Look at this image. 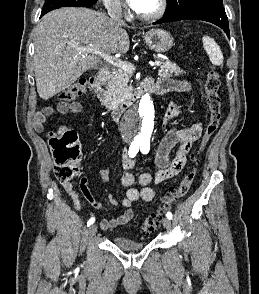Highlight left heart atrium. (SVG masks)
Returning <instances> with one entry per match:
<instances>
[{
	"label": "left heart atrium",
	"mask_w": 259,
	"mask_h": 294,
	"mask_svg": "<svg viewBox=\"0 0 259 294\" xmlns=\"http://www.w3.org/2000/svg\"><path fill=\"white\" fill-rule=\"evenodd\" d=\"M143 0H127V3L131 6L132 9L137 10L141 6Z\"/></svg>",
	"instance_id": "39dd6f15"
}]
</instances>
